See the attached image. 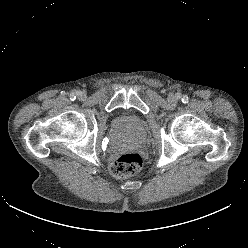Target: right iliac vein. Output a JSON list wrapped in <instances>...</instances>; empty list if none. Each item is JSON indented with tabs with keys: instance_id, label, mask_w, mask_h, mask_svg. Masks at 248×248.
<instances>
[{
	"instance_id": "obj_1",
	"label": "right iliac vein",
	"mask_w": 248,
	"mask_h": 248,
	"mask_svg": "<svg viewBox=\"0 0 248 248\" xmlns=\"http://www.w3.org/2000/svg\"><path fill=\"white\" fill-rule=\"evenodd\" d=\"M78 95H79L80 98H85V94L82 93V92H80Z\"/></svg>"
}]
</instances>
